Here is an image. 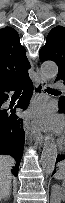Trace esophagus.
<instances>
[{"label": "esophagus", "instance_id": "1", "mask_svg": "<svg viewBox=\"0 0 65 203\" xmlns=\"http://www.w3.org/2000/svg\"><path fill=\"white\" fill-rule=\"evenodd\" d=\"M37 73H38V79L34 83V92H33L30 110L35 108V106L45 97L44 89L46 88L47 82L45 78L39 73V70H37ZM27 130L31 132L32 135H34V137L38 140L40 144L42 143L43 135L39 127H37L33 122H31L28 125Z\"/></svg>", "mask_w": 65, "mask_h": 203}]
</instances>
